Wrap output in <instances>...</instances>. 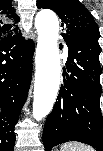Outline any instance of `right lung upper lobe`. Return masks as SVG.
I'll return each mask as SVG.
<instances>
[{
  "label": "right lung upper lobe",
  "instance_id": "cb5924a9",
  "mask_svg": "<svg viewBox=\"0 0 103 151\" xmlns=\"http://www.w3.org/2000/svg\"><path fill=\"white\" fill-rule=\"evenodd\" d=\"M19 21L13 4L10 0H0V40L11 38L21 31L16 29L15 23Z\"/></svg>",
  "mask_w": 103,
  "mask_h": 151
}]
</instances>
